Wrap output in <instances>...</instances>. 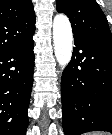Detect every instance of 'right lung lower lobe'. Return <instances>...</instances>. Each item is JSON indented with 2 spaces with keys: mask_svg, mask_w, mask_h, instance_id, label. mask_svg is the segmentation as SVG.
Wrapping results in <instances>:
<instances>
[{
  "mask_svg": "<svg viewBox=\"0 0 112 135\" xmlns=\"http://www.w3.org/2000/svg\"><path fill=\"white\" fill-rule=\"evenodd\" d=\"M33 34L0 54V135H25L33 85Z\"/></svg>",
  "mask_w": 112,
  "mask_h": 135,
  "instance_id": "obj_1",
  "label": "right lung lower lobe"
}]
</instances>
